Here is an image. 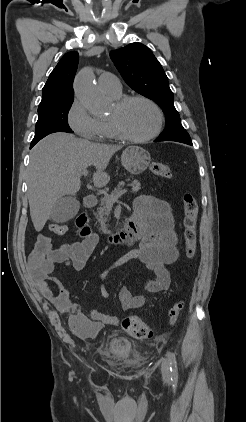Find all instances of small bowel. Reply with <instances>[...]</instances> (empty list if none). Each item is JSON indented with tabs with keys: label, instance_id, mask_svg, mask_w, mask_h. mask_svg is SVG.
<instances>
[{
	"label": "small bowel",
	"instance_id": "obj_1",
	"mask_svg": "<svg viewBox=\"0 0 246 422\" xmlns=\"http://www.w3.org/2000/svg\"><path fill=\"white\" fill-rule=\"evenodd\" d=\"M140 226L141 237L139 248L120 257L107 266L100 274V292L104 298L108 297L105 281L108 275L116 268L130 260H135L147 269L154 272L153 278H142V286L150 292H160L169 288L171 283L168 265L176 262L179 258L177 248V235L174 229V217L170 204L160 198L140 195L134 202V215ZM98 244L96 234H89L82 241L70 244H61L51 250L49 260L51 269L42 279H36L35 285L41 295L51 302L61 313H70V326L72 331L80 337L90 338L95 336L104 325L117 326L119 317L109 315L97 310H91L85 314L81 307L70 299L68 289L51 274L55 265L72 267L76 271L83 270ZM48 281L56 286L52 290ZM119 300L123 310L141 308L145 303V297L133 294L127 287L119 291Z\"/></svg>",
	"mask_w": 246,
	"mask_h": 422
}]
</instances>
